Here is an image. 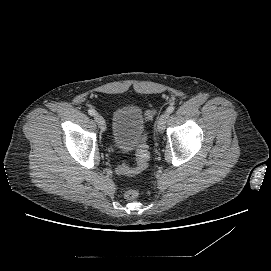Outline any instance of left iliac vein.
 Returning <instances> with one entry per match:
<instances>
[{"label":"left iliac vein","instance_id":"left-iliac-vein-1","mask_svg":"<svg viewBox=\"0 0 271 271\" xmlns=\"http://www.w3.org/2000/svg\"><path fill=\"white\" fill-rule=\"evenodd\" d=\"M169 117V113L165 112L163 113L159 119H158V131L160 133H162L164 130H165V127H166V122H167V119Z\"/></svg>","mask_w":271,"mask_h":271}]
</instances>
